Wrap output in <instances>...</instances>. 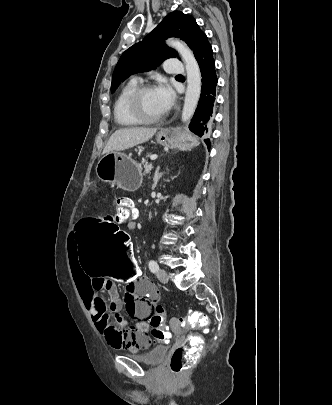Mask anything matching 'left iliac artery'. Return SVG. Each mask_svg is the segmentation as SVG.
Listing matches in <instances>:
<instances>
[{"instance_id":"left-iliac-artery-1","label":"left iliac artery","mask_w":332,"mask_h":405,"mask_svg":"<svg viewBox=\"0 0 332 405\" xmlns=\"http://www.w3.org/2000/svg\"><path fill=\"white\" fill-rule=\"evenodd\" d=\"M148 266L152 273H156L159 270V265L155 260H150Z\"/></svg>"}]
</instances>
